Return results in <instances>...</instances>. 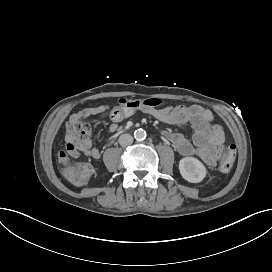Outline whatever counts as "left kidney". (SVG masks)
I'll list each match as a JSON object with an SVG mask.
<instances>
[{"instance_id":"obj_1","label":"left kidney","mask_w":272,"mask_h":272,"mask_svg":"<svg viewBox=\"0 0 272 272\" xmlns=\"http://www.w3.org/2000/svg\"><path fill=\"white\" fill-rule=\"evenodd\" d=\"M182 176L189 182H200L205 175L203 164L195 158H183L179 164Z\"/></svg>"}]
</instances>
